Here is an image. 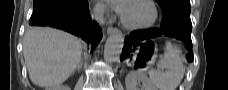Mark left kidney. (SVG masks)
<instances>
[{"instance_id": "5707ae66", "label": "left kidney", "mask_w": 228, "mask_h": 90, "mask_svg": "<svg viewBox=\"0 0 228 90\" xmlns=\"http://www.w3.org/2000/svg\"><path fill=\"white\" fill-rule=\"evenodd\" d=\"M141 81L144 90H157L147 76L141 72H130L125 78L126 90H137V83Z\"/></svg>"}]
</instances>
